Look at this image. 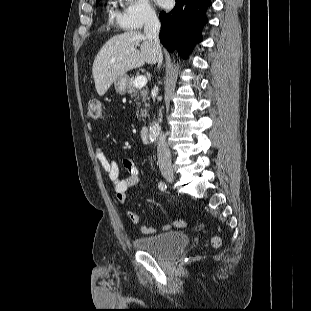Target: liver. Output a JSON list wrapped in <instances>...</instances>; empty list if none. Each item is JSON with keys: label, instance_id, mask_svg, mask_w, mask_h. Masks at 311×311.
<instances>
[{"label": "liver", "instance_id": "6515ba94", "mask_svg": "<svg viewBox=\"0 0 311 311\" xmlns=\"http://www.w3.org/2000/svg\"><path fill=\"white\" fill-rule=\"evenodd\" d=\"M157 58L153 42L139 31H128L112 37L100 49L92 67L98 95L103 96L111 84L128 71L145 63L155 64Z\"/></svg>", "mask_w": 311, "mask_h": 311}]
</instances>
